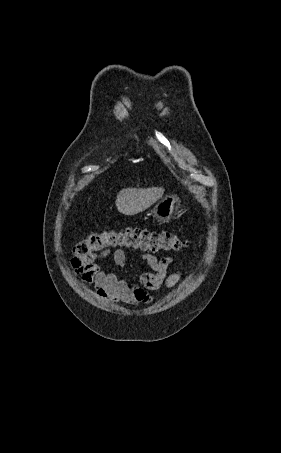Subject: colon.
Masks as SVG:
<instances>
[{
  "label": "colon",
  "mask_w": 281,
  "mask_h": 453,
  "mask_svg": "<svg viewBox=\"0 0 281 453\" xmlns=\"http://www.w3.org/2000/svg\"><path fill=\"white\" fill-rule=\"evenodd\" d=\"M184 243L171 231L151 230L138 226L100 227L77 246L75 258L80 262H94L108 256V251L150 250L151 255L180 252Z\"/></svg>",
  "instance_id": "obj_1"
}]
</instances>
